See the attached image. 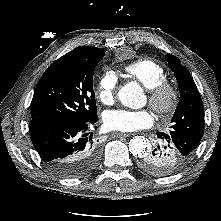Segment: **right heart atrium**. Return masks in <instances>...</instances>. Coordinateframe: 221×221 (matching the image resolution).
Segmentation results:
<instances>
[{"label": "right heart atrium", "mask_w": 221, "mask_h": 221, "mask_svg": "<svg viewBox=\"0 0 221 221\" xmlns=\"http://www.w3.org/2000/svg\"><path fill=\"white\" fill-rule=\"evenodd\" d=\"M117 79L113 72H103L96 84V98L103 104H111L114 98V92Z\"/></svg>", "instance_id": "1"}]
</instances>
